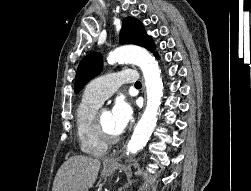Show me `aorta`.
<instances>
[{"label": "aorta", "mask_w": 251, "mask_h": 191, "mask_svg": "<svg viewBox=\"0 0 251 191\" xmlns=\"http://www.w3.org/2000/svg\"><path fill=\"white\" fill-rule=\"evenodd\" d=\"M109 64H136L140 66L146 86L147 105L139 119L133 135L127 145L128 151L136 153L146 145L153 129L156 127L157 115L161 97L163 96V84L161 70L155 58L138 46H121L108 56Z\"/></svg>", "instance_id": "obj_1"}]
</instances>
